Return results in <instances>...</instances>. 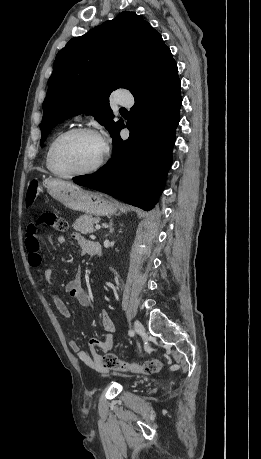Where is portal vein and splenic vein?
Listing matches in <instances>:
<instances>
[{
    "label": "portal vein and splenic vein",
    "mask_w": 261,
    "mask_h": 459,
    "mask_svg": "<svg viewBox=\"0 0 261 459\" xmlns=\"http://www.w3.org/2000/svg\"><path fill=\"white\" fill-rule=\"evenodd\" d=\"M95 228H96V230H99L101 228V226L99 224H96Z\"/></svg>",
    "instance_id": "1"
}]
</instances>
